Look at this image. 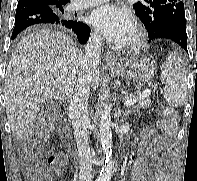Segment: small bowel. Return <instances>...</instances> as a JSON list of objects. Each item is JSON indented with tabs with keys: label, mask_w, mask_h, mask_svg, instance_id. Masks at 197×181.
I'll use <instances>...</instances> for the list:
<instances>
[{
	"label": "small bowel",
	"mask_w": 197,
	"mask_h": 181,
	"mask_svg": "<svg viewBox=\"0 0 197 181\" xmlns=\"http://www.w3.org/2000/svg\"><path fill=\"white\" fill-rule=\"evenodd\" d=\"M172 136L173 133H168ZM169 153L167 139L159 136L153 129L145 131L133 162L129 181H169L170 175L163 167L171 168L172 161L168 157H159V153Z\"/></svg>",
	"instance_id": "1"
}]
</instances>
